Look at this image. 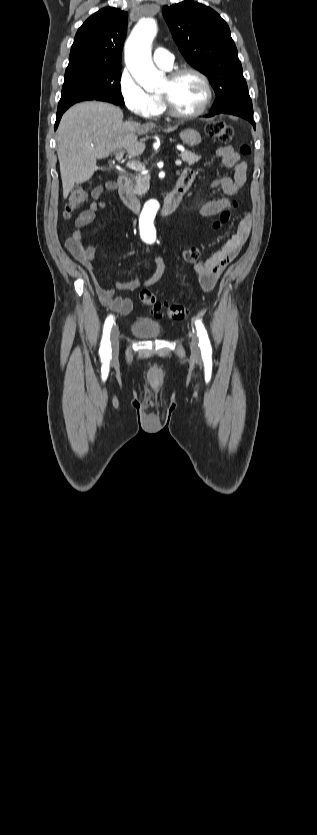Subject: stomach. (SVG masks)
<instances>
[{
	"label": "stomach",
	"instance_id": "0dacf381",
	"mask_svg": "<svg viewBox=\"0 0 317 835\" xmlns=\"http://www.w3.org/2000/svg\"><path fill=\"white\" fill-rule=\"evenodd\" d=\"M179 136L185 144L191 147H195L201 143V136L199 132L191 128L182 130Z\"/></svg>",
	"mask_w": 317,
	"mask_h": 835
}]
</instances>
